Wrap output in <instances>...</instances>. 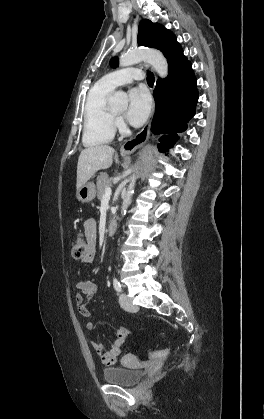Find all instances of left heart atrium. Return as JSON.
I'll use <instances>...</instances> for the list:
<instances>
[{
	"label": "left heart atrium",
	"instance_id": "39dd6f15",
	"mask_svg": "<svg viewBox=\"0 0 264 419\" xmlns=\"http://www.w3.org/2000/svg\"><path fill=\"white\" fill-rule=\"evenodd\" d=\"M150 107V97L144 89L133 88L130 90L126 116L131 124L139 126L144 123L149 115Z\"/></svg>",
	"mask_w": 264,
	"mask_h": 419
}]
</instances>
